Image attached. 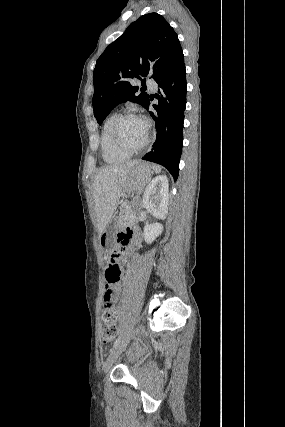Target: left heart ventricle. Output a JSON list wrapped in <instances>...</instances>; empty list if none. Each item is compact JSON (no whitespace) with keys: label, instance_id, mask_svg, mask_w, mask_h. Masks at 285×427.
Segmentation results:
<instances>
[{"label":"left heart ventricle","instance_id":"left-heart-ventricle-1","mask_svg":"<svg viewBox=\"0 0 285 427\" xmlns=\"http://www.w3.org/2000/svg\"><path fill=\"white\" fill-rule=\"evenodd\" d=\"M122 142L130 148L139 146L146 136L145 123L137 118L124 120L119 128Z\"/></svg>","mask_w":285,"mask_h":427}]
</instances>
